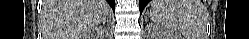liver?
<instances>
[{"mask_svg": "<svg viewBox=\"0 0 249 39\" xmlns=\"http://www.w3.org/2000/svg\"><path fill=\"white\" fill-rule=\"evenodd\" d=\"M105 0H43L44 39H88L110 15Z\"/></svg>", "mask_w": 249, "mask_h": 39, "instance_id": "6515ba94", "label": "liver"}]
</instances>
